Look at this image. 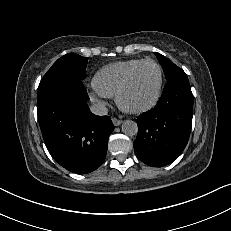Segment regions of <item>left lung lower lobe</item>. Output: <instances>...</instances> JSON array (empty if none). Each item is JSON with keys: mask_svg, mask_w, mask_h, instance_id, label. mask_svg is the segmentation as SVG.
<instances>
[{"mask_svg": "<svg viewBox=\"0 0 231 231\" xmlns=\"http://www.w3.org/2000/svg\"><path fill=\"white\" fill-rule=\"evenodd\" d=\"M193 94L182 70L167 79L155 108L138 117L134 150L152 167L172 163L187 145L192 125Z\"/></svg>", "mask_w": 231, "mask_h": 231, "instance_id": "left-lung-lower-lobe-1", "label": "left lung lower lobe"}]
</instances>
